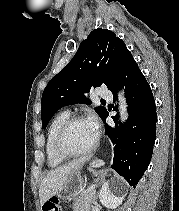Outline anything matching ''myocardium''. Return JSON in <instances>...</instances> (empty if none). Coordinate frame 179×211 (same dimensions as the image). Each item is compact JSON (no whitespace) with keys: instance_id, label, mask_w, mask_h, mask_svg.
I'll return each instance as SVG.
<instances>
[{"instance_id":"f54148a6","label":"myocardium","mask_w":179,"mask_h":211,"mask_svg":"<svg viewBox=\"0 0 179 211\" xmlns=\"http://www.w3.org/2000/svg\"><path fill=\"white\" fill-rule=\"evenodd\" d=\"M85 121L82 116H72L69 117L60 127L56 141H55V149L58 155L64 159H74L85 157L93 153L98 146V139H95V142L88 149L81 152H72L67 147V138L71 128L78 122Z\"/></svg>"}]
</instances>
